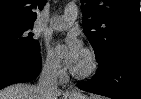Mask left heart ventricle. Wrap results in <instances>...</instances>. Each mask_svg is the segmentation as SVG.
Instances as JSON below:
<instances>
[{"label":"left heart ventricle","mask_w":141,"mask_h":99,"mask_svg":"<svg viewBox=\"0 0 141 99\" xmlns=\"http://www.w3.org/2000/svg\"><path fill=\"white\" fill-rule=\"evenodd\" d=\"M86 65H87L86 58L85 56H83V58L81 59V61L79 62L76 68L83 69L86 67Z\"/></svg>","instance_id":"obj_1"}]
</instances>
